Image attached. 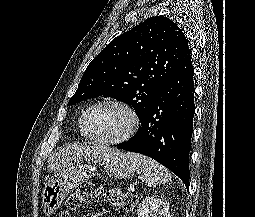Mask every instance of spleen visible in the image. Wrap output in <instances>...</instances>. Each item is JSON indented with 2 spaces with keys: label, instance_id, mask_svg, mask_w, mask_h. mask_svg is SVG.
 <instances>
[{
  "label": "spleen",
  "instance_id": "1",
  "mask_svg": "<svg viewBox=\"0 0 255 217\" xmlns=\"http://www.w3.org/2000/svg\"><path fill=\"white\" fill-rule=\"evenodd\" d=\"M126 155L137 173L145 178V183L148 186H157L171 180V173L155 160L136 153L128 152Z\"/></svg>",
  "mask_w": 255,
  "mask_h": 217
}]
</instances>
